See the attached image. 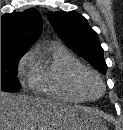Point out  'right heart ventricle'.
I'll use <instances>...</instances> for the list:
<instances>
[{"label":"right heart ventricle","instance_id":"e07e8e85","mask_svg":"<svg viewBox=\"0 0 123 130\" xmlns=\"http://www.w3.org/2000/svg\"><path fill=\"white\" fill-rule=\"evenodd\" d=\"M86 68L64 45L53 43L43 53H34L32 90L65 103H83L87 99L76 89L74 75Z\"/></svg>","mask_w":123,"mask_h":130}]
</instances>
